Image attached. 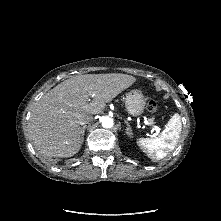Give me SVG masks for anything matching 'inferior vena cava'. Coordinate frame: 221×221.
I'll return each instance as SVG.
<instances>
[{
	"mask_svg": "<svg viewBox=\"0 0 221 221\" xmlns=\"http://www.w3.org/2000/svg\"><path fill=\"white\" fill-rule=\"evenodd\" d=\"M92 119H93V116H92V115H85V116H83V117L80 119L79 124H80V125H85V124L91 122Z\"/></svg>",
	"mask_w": 221,
	"mask_h": 221,
	"instance_id": "inferior-vena-cava-1",
	"label": "inferior vena cava"
}]
</instances>
